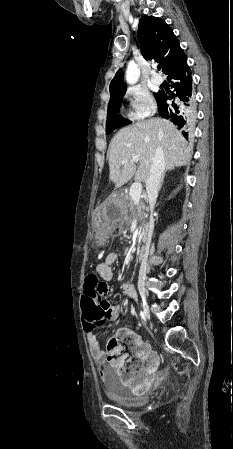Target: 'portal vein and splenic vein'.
I'll use <instances>...</instances> for the list:
<instances>
[{"mask_svg":"<svg viewBox=\"0 0 233 449\" xmlns=\"http://www.w3.org/2000/svg\"><path fill=\"white\" fill-rule=\"evenodd\" d=\"M131 159L134 162L139 161L138 155H132ZM124 163L125 160H122V164ZM141 192H142V184L140 182H134L130 187L129 195L135 203H138L140 201Z\"/></svg>","mask_w":233,"mask_h":449,"instance_id":"obj_1","label":"portal vein and splenic vein"}]
</instances>
